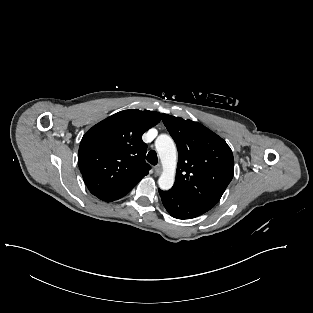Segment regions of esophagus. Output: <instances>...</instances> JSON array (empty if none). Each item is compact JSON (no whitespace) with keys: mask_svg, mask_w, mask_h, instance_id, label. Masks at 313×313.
I'll return each mask as SVG.
<instances>
[{"mask_svg":"<svg viewBox=\"0 0 313 313\" xmlns=\"http://www.w3.org/2000/svg\"><path fill=\"white\" fill-rule=\"evenodd\" d=\"M154 170H155V174H156V175H160V173H161V171H162L161 165H160V164L157 165Z\"/></svg>","mask_w":313,"mask_h":313,"instance_id":"1","label":"esophagus"}]
</instances>
